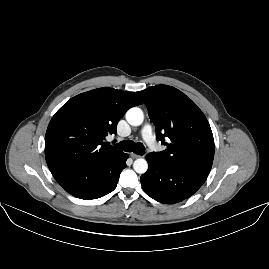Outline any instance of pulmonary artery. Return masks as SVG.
I'll use <instances>...</instances> for the list:
<instances>
[{"mask_svg": "<svg viewBox=\"0 0 269 269\" xmlns=\"http://www.w3.org/2000/svg\"><path fill=\"white\" fill-rule=\"evenodd\" d=\"M141 137L148 146H152L156 142L155 133L150 125H145L141 129Z\"/></svg>", "mask_w": 269, "mask_h": 269, "instance_id": "e3ab8cb5", "label": "pulmonary artery"}]
</instances>
